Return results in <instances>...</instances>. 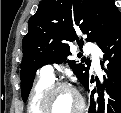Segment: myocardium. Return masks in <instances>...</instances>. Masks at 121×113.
Instances as JSON below:
<instances>
[{
  "label": "myocardium",
  "mask_w": 121,
  "mask_h": 113,
  "mask_svg": "<svg viewBox=\"0 0 121 113\" xmlns=\"http://www.w3.org/2000/svg\"><path fill=\"white\" fill-rule=\"evenodd\" d=\"M67 90L73 93L77 99V105L74 109L71 110V113H77L84 109L85 103L84 98L80 91L72 84L67 82H54L51 83L45 90L42 98V109H52L54 103L52 102V98L57 91ZM49 113V112H48Z\"/></svg>",
  "instance_id": "myocardium-1"
}]
</instances>
